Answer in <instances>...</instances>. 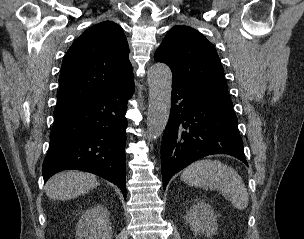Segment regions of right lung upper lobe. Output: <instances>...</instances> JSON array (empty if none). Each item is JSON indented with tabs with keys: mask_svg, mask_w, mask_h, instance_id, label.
I'll use <instances>...</instances> for the list:
<instances>
[{
	"mask_svg": "<svg viewBox=\"0 0 304 239\" xmlns=\"http://www.w3.org/2000/svg\"><path fill=\"white\" fill-rule=\"evenodd\" d=\"M126 36L104 21L86 30L63 60L54 113L73 108L133 77Z\"/></svg>",
	"mask_w": 304,
	"mask_h": 239,
	"instance_id": "1",
	"label": "right lung upper lobe"
}]
</instances>
